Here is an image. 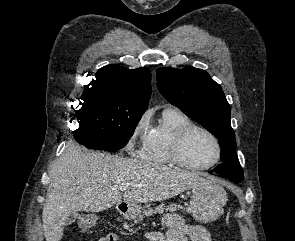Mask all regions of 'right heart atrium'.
I'll return each instance as SVG.
<instances>
[{"label": "right heart atrium", "mask_w": 295, "mask_h": 241, "mask_svg": "<svg viewBox=\"0 0 295 241\" xmlns=\"http://www.w3.org/2000/svg\"><path fill=\"white\" fill-rule=\"evenodd\" d=\"M151 112L149 110L143 112L134 122L126 148L133 153L139 145H143L150 132Z\"/></svg>", "instance_id": "1"}]
</instances>
